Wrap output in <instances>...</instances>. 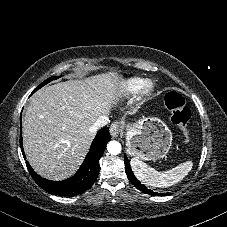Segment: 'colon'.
I'll list each match as a JSON object with an SVG mask.
<instances>
[{"mask_svg": "<svg viewBox=\"0 0 227 227\" xmlns=\"http://www.w3.org/2000/svg\"><path fill=\"white\" fill-rule=\"evenodd\" d=\"M166 106L171 113V119L179 129L184 141L190 140L189 120L191 112L184 97L178 92H170L166 97Z\"/></svg>", "mask_w": 227, "mask_h": 227, "instance_id": "5ec220e1", "label": "colon"}]
</instances>
